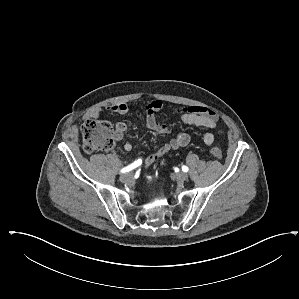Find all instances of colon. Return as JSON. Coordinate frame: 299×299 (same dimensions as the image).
Masks as SVG:
<instances>
[{
	"mask_svg": "<svg viewBox=\"0 0 299 299\" xmlns=\"http://www.w3.org/2000/svg\"><path fill=\"white\" fill-rule=\"evenodd\" d=\"M82 140L86 153L111 150L115 145L113 127L105 120L88 119L82 125ZM210 152L217 159L223 158L216 146H212Z\"/></svg>",
	"mask_w": 299,
	"mask_h": 299,
	"instance_id": "colon-1",
	"label": "colon"
}]
</instances>
